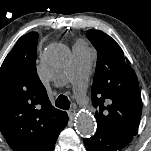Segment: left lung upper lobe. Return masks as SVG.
<instances>
[{
	"label": "left lung upper lobe",
	"mask_w": 151,
	"mask_h": 151,
	"mask_svg": "<svg viewBox=\"0 0 151 151\" xmlns=\"http://www.w3.org/2000/svg\"><path fill=\"white\" fill-rule=\"evenodd\" d=\"M87 37L98 52L91 88L98 128L133 137L142 113L139 83L120 46L100 30Z\"/></svg>",
	"instance_id": "5c2ea615"
}]
</instances>
